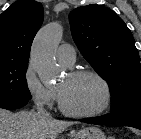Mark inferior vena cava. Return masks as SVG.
I'll return each instance as SVG.
<instances>
[{
  "mask_svg": "<svg viewBox=\"0 0 141 139\" xmlns=\"http://www.w3.org/2000/svg\"><path fill=\"white\" fill-rule=\"evenodd\" d=\"M37 115L44 119L52 118L50 113L44 108L42 103H37Z\"/></svg>",
  "mask_w": 141,
  "mask_h": 139,
  "instance_id": "obj_1",
  "label": "inferior vena cava"
}]
</instances>
